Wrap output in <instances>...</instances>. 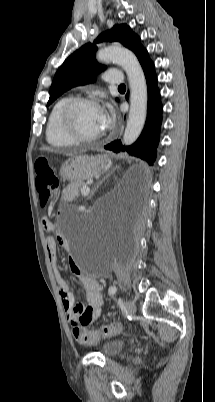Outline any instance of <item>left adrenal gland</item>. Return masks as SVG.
Wrapping results in <instances>:
<instances>
[{
    "mask_svg": "<svg viewBox=\"0 0 215 402\" xmlns=\"http://www.w3.org/2000/svg\"><path fill=\"white\" fill-rule=\"evenodd\" d=\"M109 176H110V174L106 175V176L100 181V183L92 190V192H91L89 198H92V196H94V194H95V192L97 191V189L99 188V186H101L102 183H103L106 179H108Z\"/></svg>",
    "mask_w": 215,
    "mask_h": 402,
    "instance_id": "1",
    "label": "left adrenal gland"
}]
</instances>
